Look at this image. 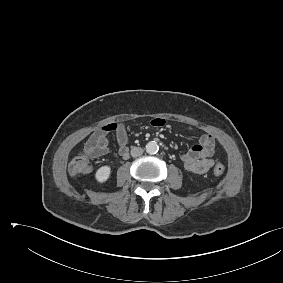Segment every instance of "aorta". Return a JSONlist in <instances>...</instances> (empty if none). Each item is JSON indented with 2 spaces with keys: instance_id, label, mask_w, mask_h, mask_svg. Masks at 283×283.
<instances>
[{
  "instance_id": "762f6f07",
  "label": "aorta",
  "mask_w": 283,
  "mask_h": 283,
  "mask_svg": "<svg viewBox=\"0 0 283 283\" xmlns=\"http://www.w3.org/2000/svg\"><path fill=\"white\" fill-rule=\"evenodd\" d=\"M158 150H159V146L155 141H151V142L147 143L146 151L149 154H154V153L158 152Z\"/></svg>"
}]
</instances>
